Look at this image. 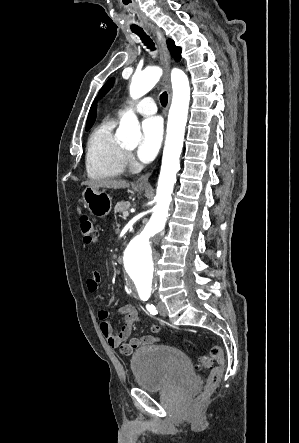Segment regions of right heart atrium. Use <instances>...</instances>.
Segmentation results:
<instances>
[{"label": "right heart atrium", "mask_w": 299, "mask_h": 443, "mask_svg": "<svg viewBox=\"0 0 299 443\" xmlns=\"http://www.w3.org/2000/svg\"><path fill=\"white\" fill-rule=\"evenodd\" d=\"M126 164H132L133 163V158L130 154H126Z\"/></svg>", "instance_id": "d8ad5b80"}]
</instances>
